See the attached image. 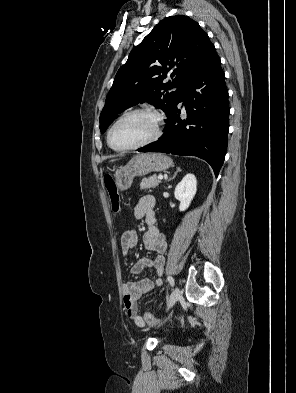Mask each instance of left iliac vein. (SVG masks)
I'll return each instance as SVG.
<instances>
[{
	"label": "left iliac vein",
	"instance_id": "left-iliac-vein-1",
	"mask_svg": "<svg viewBox=\"0 0 296 393\" xmlns=\"http://www.w3.org/2000/svg\"><path fill=\"white\" fill-rule=\"evenodd\" d=\"M181 295V291L178 287H175L171 293V296L168 301V308H171L174 306V304L177 302Z\"/></svg>",
	"mask_w": 296,
	"mask_h": 393
}]
</instances>
